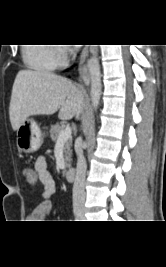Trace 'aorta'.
<instances>
[{
  "instance_id": "762f6f07",
  "label": "aorta",
  "mask_w": 166,
  "mask_h": 267,
  "mask_svg": "<svg viewBox=\"0 0 166 267\" xmlns=\"http://www.w3.org/2000/svg\"><path fill=\"white\" fill-rule=\"evenodd\" d=\"M89 74L91 78V102L94 110L98 108L100 97H101V73L100 64L96 56H92L88 61Z\"/></svg>"
}]
</instances>
